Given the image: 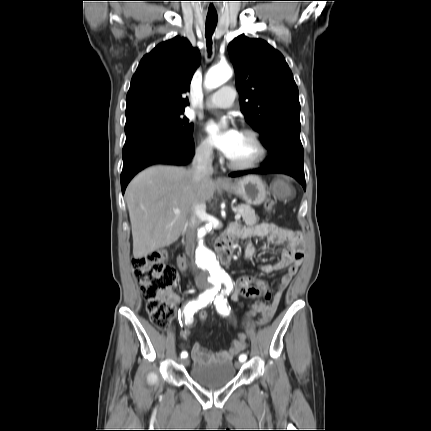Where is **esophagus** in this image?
Returning <instances> with one entry per match:
<instances>
[{
	"label": "esophagus",
	"mask_w": 431,
	"mask_h": 431,
	"mask_svg": "<svg viewBox=\"0 0 431 431\" xmlns=\"http://www.w3.org/2000/svg\"><path fill=\"white\" fill-rule=\"evenodd\" d=\"M215 181L218 184H227V183H229V180L227 178H224V177H217Z\"/></svg>",
	"instance_id": "34e87169"
}]
</instances>
